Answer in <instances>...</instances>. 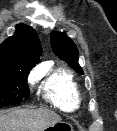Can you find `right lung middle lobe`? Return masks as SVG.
<instances>
[{"mask_svg": "<svg viewBox=\"0 0 117 131\" xmlns=\"http://www.w3.org/2000/svg\"><path fill=\"white\" fill-rule=\"evenodd\" d=\"M28 73L29 69L23 66L0 68V107L18 104L29 97Z\"/></svg>", "mask_w": 117, "mask_h": 131, "instance_id": "right-lung-middle-lobe-1", "label": "right lung middle lobe"}]
</instances>
